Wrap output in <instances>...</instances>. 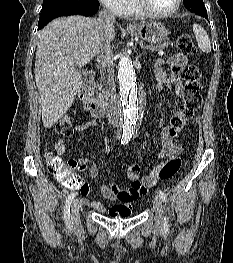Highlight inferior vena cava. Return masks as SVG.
I'll return each instance as SVG.
<instances>
[{"mask_svg": "<svg viewBox=\"0 0 233 263\" xmlns=\"http://www.w3.org/2000/svg\"><path fill=\"white\" fill-rule=\"evenodd\" d=\"M115 21L116 20L114 15L110 13L107 9H102L99 12L98 23L103 30H107L110 27H112ZM111 55L112 52L110 49V43L104 41L103 47L97 56V62L100 71L107 77L105 91L107 103V117L109 118V121L112 122V124L116 125L119 123L120 112L116 99L115 83L109 66Z\"/></svg>", "mask_w": 233, "mask_h": 263, "instance_id": "602c4592", "label": "inferior vena cava"}]
</instances>
